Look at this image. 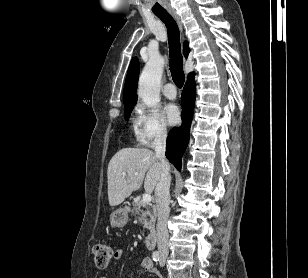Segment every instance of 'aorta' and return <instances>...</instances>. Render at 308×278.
<instances>
[{
	"mask_svg": "<svg viewBox=\"0 0 308 278\" xmlns=\"http://www.w3.org/2000/svg\"><path fill=\"white\" fill-rule=\"evenodd\" d=\"M163 68L164 59L159 55H154L149 58L140 75L138 95L148 107H152L160 101Z\"/></svg>",
	"mask_w": 308,
	"mask_h": 278,
	"instance_id": "1",
	"label": "aorta"
}]
</instances>
